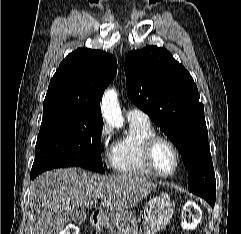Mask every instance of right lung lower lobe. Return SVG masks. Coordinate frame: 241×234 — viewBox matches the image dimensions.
I'll use <instances>...</instances> for the list:
<instances>
[{
    "label": "right lung lower lobe",
    "mask_w": 241,
    "mask_h": 234,
    "mask_svg": "<svg viewBox=\"0 0 241 234\" xmlns=\"http://www.w3.org/2000/svg\"><path fill=\"white\" fill-rule=\"evenodd\" d=\"M72 166H77L75 163L70 162V161H50L47 163V165L38 168V169H32L31 171V179H34L36 176H38L40 173L50 170L53 168H60V167H72Z\"/></svg>",
    "instance_id": "obj_1"
}]
</instances>
